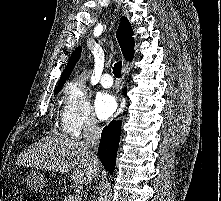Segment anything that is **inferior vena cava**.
Here are the masks:
<instances>
[{"instance_id": "602c4592", "label": "inferior vena cava", "mask_w": 221, "mask_h": 201, "mask_svg": "<svg viewBox=\"0 0 221 201\" xmlns=\"http://www.w3.org/2000/svg\"><path fill=\"white\" fill-rule=\"evenodd\" d=\"M84 142L92 148L90 150V156L93 160L94 166H98V158L96 155L100 137H101V128L98 126L97 119L95 117H91L90 120L87 122V125L84 128Z\"/></svg>"}]
</instances>
